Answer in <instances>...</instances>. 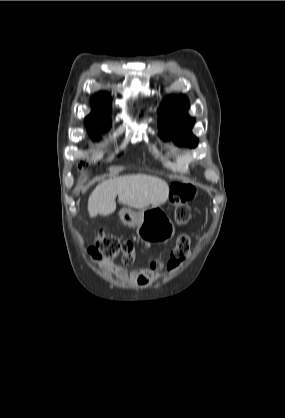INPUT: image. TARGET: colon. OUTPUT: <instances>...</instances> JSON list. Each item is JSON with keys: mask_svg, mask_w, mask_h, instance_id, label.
<instances>
[{"mask_svg": "<svg viewBox=\"0 0 285 418\" xmlns=\"http://www.w3.org/2000/svg\"><path fill=\"white\" fill-rule=\"evenodd\" d=\"M174 204L173 220L180 226H186L192 217L190 201L193 198L192 191L185 186L175 184L172 190ZM190 239L188 234L180 230L176 236V246L172 250L167 264L156 262L153 264V271L161 274L165 267L172 268L185 261L189 256ZM91 254L97 260H111L120 257L126 264H131L135 258V249L133 241L130 239H121L117 236L99 231L95 237V245L91 249Z\"/></svg>", "mask_w": 285, "mask_h": 418, "instance_id": "obj_1", "label": "colon"}]
</instances>
